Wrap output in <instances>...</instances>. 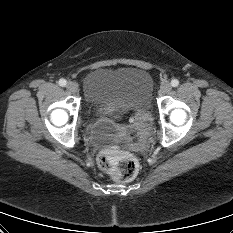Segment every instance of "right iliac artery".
<instances>
[{
    "instance_id": "right-iliac-artery-1",
    "label": "right iliac artery",
    "mask_w": 233,
    "mask_h": 233,
    "mask_svg": "<svg viewBox=\"0 0 233 233\" xmlns=\"http://www.w3.org/2000/svg\"><path fill=\"white\" fill-rule=\"evenodd\" d=\"M67 84L66 80L65 79H60L59 80V85L62 86V87H65Z\"/></svg>"
}]
</instances>
